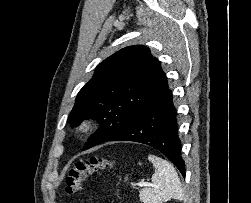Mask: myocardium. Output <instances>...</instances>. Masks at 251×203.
I'll use <instances>...</instances> for the list:
<instances>
[{
	"label": "myocardium",
	"instance_id": "myocardium-1",
	"mask_svg": "<svg viewBox=\"0 0 251 203\" xmlns=\"http://www.w3.org/2000/svg\"><path fill=\"white\" fill-rule=\"evenodd\" d=\"M95 121L91 118H84L77 124V131L86 135L91 133L95 129Z\"/></svg>",
	"mask_w": 251,
	"mask_h": 203
}]
</instances>
